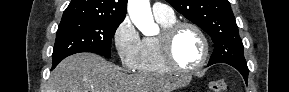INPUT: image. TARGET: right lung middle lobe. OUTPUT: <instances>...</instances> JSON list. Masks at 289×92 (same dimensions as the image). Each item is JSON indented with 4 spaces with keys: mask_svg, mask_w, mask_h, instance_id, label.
<instances>
[{
    "mask_svg": "<svg viewBox=\"0 0 289 92\" xmlns=\"http://www.w3.org/2000/svg\"><path fill=\"white\" fill-rule=\"evenodd\" d=\"M120 23L104 20H62L56 32L53 66L65 57L79 52H92L109 58L112 38Z\"/></svg>",
    "mask_w": 289,
    "mask_h": 92,
    "instance_id": "obj_1",
    "label": "right lung middle lobe"
}]
</instances>
